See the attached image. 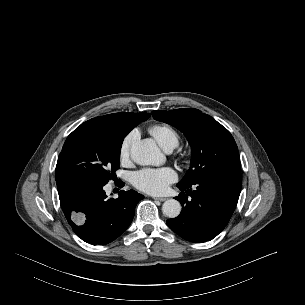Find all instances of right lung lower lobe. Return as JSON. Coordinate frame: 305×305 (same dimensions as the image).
Instances as JSON below:
<instances>
[{
	"label": "right lung lower lobe",
	"instance_id": "98d812e1",
	"mask_svg": "<svg viewBox=\"0 0 305 305\" xmlns=\"http://www.w3.org/2000/svg\"><path fill=\"white\" fill-rule=\"evenodd\" d=\"M57 182L60 204L75 234L92 245H104L120 236L133 220L137 203L144 198L134 190L107 198L104 185L76 179Z\"/></svg>",
	"mask_w": 305,
	"mask_h": 305
}]
</instances>
